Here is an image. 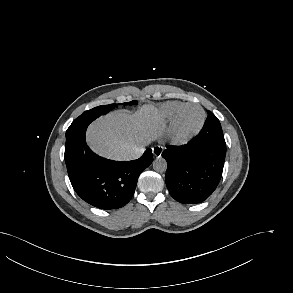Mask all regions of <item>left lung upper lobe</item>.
Here are the masks:
<instances>
[{"label": "left lung upper lobe", "instance_id": "left-lung-upper-lobe-1", "mask_svg": "<svg viewBox=\"0 0 293 293\" xmlns=\"http://www.w3.org/2000/svg\"><path fill=\"white\" fill-rule=\"evenodd\" d=\"M207 119H209L211 122L221 127L219 120L216 118V116L212 112L208 111Z\"/></svg>", "mask_w": 293, "mask_h": 293}]
</instances>
